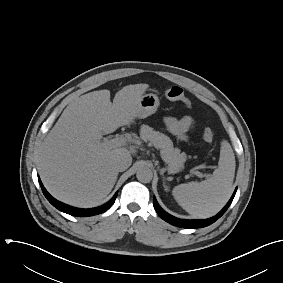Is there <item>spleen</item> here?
Returning a JSON list of instances; mask_svg holds the SVG:
<instances>
[{
	"label": "spleen",
	"instance_id": "3e777b00",
	"mask_svg": "<svg viewBox=\"0 0 283 283\" xmlns=\"http://www.w3.org/2000/svg\"><path fill=\"white\" fill-rule=\"evenodd\" d=\"M235 156L227 140L221 142L218 168L200 183L189 182L175 186L172 195L189 214L205 218L216 214L232 193L235 176Z\"/></svg>",
	"mask_w": 283,
	"mask_h": 283
}]
</instances>
